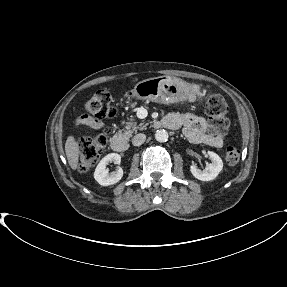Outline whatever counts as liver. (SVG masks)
<instances>
[{
	"label": "liver",
	"mask_w": 287,
	"mask_h": 287,
	"mask_svg": "<svg viewBox=\"0 0 287 287\" xmlns=\"http://www.w3.org/2000/svg\"><path fill=\"white\" fill-rule=\"evenodd\" d=\"M65 153L67 156L68 163L73 170H76L78 167L79 161V145L75 140L74 136H69L65 143Z\"/></svg>",
	"instance_id": "liver-1"
}]
</instances>
